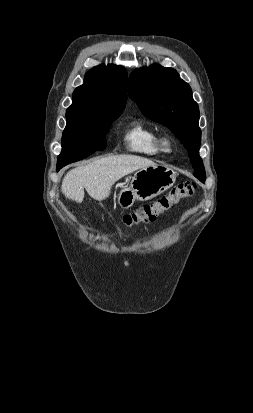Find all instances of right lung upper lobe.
<instances>
[{
  "instance_id": "obj_1",
  "label": "right lung upper lobe",
  "mask_w": 253,
  "mask_h": 413,
  "mask_svg": "<svg viewBox=\"0 0 253 413\" xmlns=\"http://www.w3.org/2000/svg\"><path fill=\"white\" fill-rule=\"evenodd\" d=\"M127 72L124 67L104 64L93 67L84 84L72 95L67 121L93 119L100 115L121 114L127 101Z\"/></svg>"
}]
</instances>
